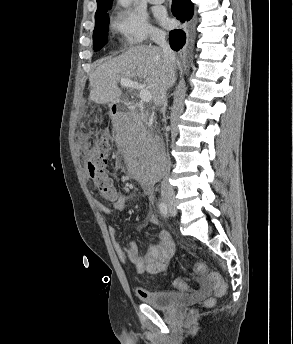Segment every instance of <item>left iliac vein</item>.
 <instances>
[{
    "mask_svg": "<svg viewBox=\"0 0 293 344\" xmlns=\"http://www.w3.org/2000/svg\"><path fill=\"white\" fill-rule=\"evenodd\" d=\"M175 214H176V211L174 209H170V215L175 216Z\"/></svg>",
    "mask_w": 293,
    "mask_h": 344,
    "instance_id": "left-iliac-vein-1",
    "label": "left iliac vein"
}]
</instances>
